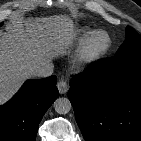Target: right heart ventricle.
Returning a JSON list of instances; mask_svg holds the SVG:
<instances>
[{
  "instance_id": "e07e8e85",
  "label": "right heart ventricle",
  "mask_w": 141,
  "mask_h": 141,
  "mask_svg": "<svg viewBox=\"0 0 141 141\" xmlns=\"http://www.w3.org/2000/svg\"><path fill=\"white\" fill-rule=\"evenodd\" d=\"M92 31L88 27L79 28L74 36V43L81 44Z\"/></svg>"
}]
</instances>
